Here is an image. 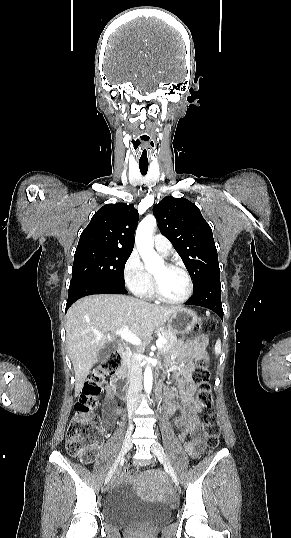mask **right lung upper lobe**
<instances>
[{
	"mask_svg": "<svg viewBox=\"0 0 291 538\" xmlns=\"http://www.w3.org/2000/svg\"><path fill=\"white\" fill-rule=\"evenodd\" d=\"M138 220V211L133 204L104 205L81 233L76 251L88 248L132 251Z\"/></svg>",
	"mask_w": 291,
	"mask_h": 538,
	"instance_id": "1",
	"label": "right lung upper lobe"
}]
</instances>
